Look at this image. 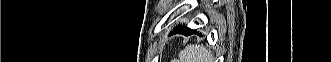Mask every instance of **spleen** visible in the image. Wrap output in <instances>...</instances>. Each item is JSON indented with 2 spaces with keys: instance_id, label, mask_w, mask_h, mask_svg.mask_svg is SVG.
Returning a JSON list of instances; mask_svg holds the SVG:
<instances>
[{
  "instance_id": "obj_1",
  "label": "spleen",
  "mask_w": 331,
  "mask_h": 62,
  "mask_svg": "<svg viewBox=\"0 0 331 62\" xmlns=\"http://www.w3.org/2000/svg\"><path fill=\"white\" fill-rule=\"evenodd\" d=\"M181 62H204V50L197 48V46L189 45L179 54Z\"/></svg>"
}]
</instances>
